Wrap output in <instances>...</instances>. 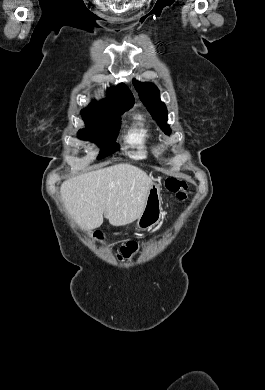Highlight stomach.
I'll return each instance as SVG.
<instances>
[{
  "mask_svg": "<svg viewBox=\"0 0 265 390\" xmlns=\"http://www.w3.org/2000/svg\"><path fill=\"white\" fill-rule=\"evenodd\" d=\"M162 216L161 187L153 183L150 187L141 215L137 220L139 230L151 229L159 223Z\"/></svg>",
  "mask_w": 265,
  "mask_h": 390,
  "instance_id": "0dacf381",
  "label": "stomach"
}]
</instances>
